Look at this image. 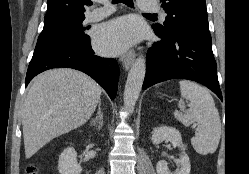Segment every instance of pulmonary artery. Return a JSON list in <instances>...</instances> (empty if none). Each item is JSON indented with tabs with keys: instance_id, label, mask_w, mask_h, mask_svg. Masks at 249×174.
Instances as JSON below:
<instances>
[{
	"instance_id": "pulmonary-artery-1",
	"label": "pulmonary artery",
	"mask_w": 249,
	"mask_h": 174,
	"mask_svg": "<svg viewBox=\"0 0 249 174\" xmlns=\"http://www.w3.org/2000/svg\"><path fill=\"white\" fill-rule=\"evenodd\" d=\"M99 2L102 6L90 13L88 21L95 22L102 20L113 12L114 6L108 0H99ZM138 3L141 11L146 13H160L162 18L165 17V13L160 11L159 5L155 0H138Z\"/></svg>"
}]
</instances>
